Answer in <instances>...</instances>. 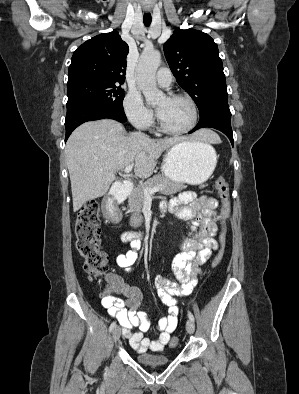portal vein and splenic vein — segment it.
Wrapping results in <instances>:
<instances>
[{
  "mask_svg": "<svg viewBox=\"0 0 299 394\" xmlns=\"http://www.w3.org/2000/svg\"><path fill=\"white\" fill-rule=\"evenodd\" d=\"M132 169H133V165H128V166L125 167L124 172H125L127 175H130V172L132 171ZM160 189H161L160 187H153V188L146 187V188L144 189V194H145V196L150 197V196H152L154 193L160 191Z\"/></svg>",
  "mask_w": 299,
  "mask_h": 394,
  "instance_id": "portal-vein-and-splenic-vein-1",
  "label": "portal vein and splenic vein"
}]
</instances>
